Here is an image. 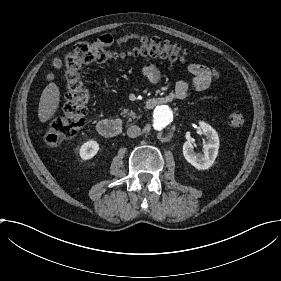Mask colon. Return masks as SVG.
I'll list each match as a JSON object with an SVG mask.
<instances>
[{"instance_id": "1", "label": "colon", "mask_w": 281, "mask_h": 281, "mask_svg": "<svg viewBox=\"0 0 281 281\" xmlns=\"http://www.w3.org/2000/svg\"><path fill=\"white\" fill-rule=\"evenodd\" d=\"M126 53L149 54L154 59L165 58L178 62H186L189 59L186 48L155 37L138 38L120 46L113 45L110 38L78 45L65 59L63 76L67 93L62 107L43 133L42 144L45 148H55L62 141L78 136L86 127L89 96L81 75L83 67L121 57ZM228 123L232 127H242L245 116L240 111H231L228 114Z\"/></svg>"}]
</instances>
